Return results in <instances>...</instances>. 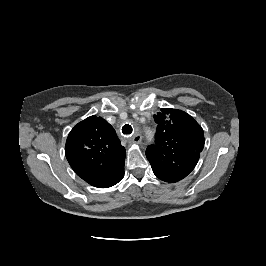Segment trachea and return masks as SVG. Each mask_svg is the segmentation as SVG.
<instances>
[{
    "mask_svg": "<svg viewBox=\"0 0 266 266\" xmlns=\"http://www.w3.org/2000/svg\"><path fill=\"white\" fill-rule=\"evenodd\" d=\"M133 131L131 125L129 124H125L123 127H122V133L125 134V135H129L131 134Z\"/></svg>",
    "mask_w": 266,
    "mask_h": 266,
    "instance_id": "1",
    "label": "trachea"
}]
</instances>
